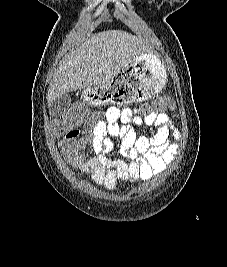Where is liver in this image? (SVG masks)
I'll return each mask as SVG.
<instances>
[{"instance_id": "6515ba94", "label": "liver", "mask_w": 227, "mask_h": 267, "mask_svg": "<svg viewBox=\"0 0 227 267\" xmlns=\"http://www.w3.org/2000/svg\"><path fill=\"white\" fill-rule=\"evenodd\" d=\"M146 49L125 31H103L90 37L59 65L48 90L51 103L60 95L91 87H104L134 57Z\"/></svg>"}]
</instances>
